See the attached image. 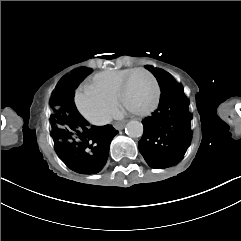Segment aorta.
Instances as JSON below:
<instances>
[{"instance_id":"1","label":"aorta","mask_w":241,"mask_h":241,"mask_svg":"<svg viewBox=\"0 0 241 241\" xmlns=\"http://www.w3.org/2000/svg\"><path fill=\"white\" fill-rule=\"evenodd\" d=\"M143 125L139 121H130L126 125V134L129 137L136 138L143 135Z\"/></svg>"}]
</instances>
